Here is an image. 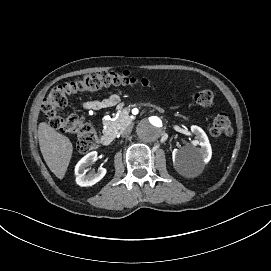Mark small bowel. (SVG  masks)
Listing matches in <instances>:
<instances>
[{
  "mask_svg": "<svg viewBox=\"0 0 271 271\" xmlns=\"http://www.w3.org/2000/svg\"><path fill=\"white\" fill-rule=\"evenodd\" d=\"M119 96L117 94H110L103 99L86 100L81 103V106L86 110H101L116 106L119 103Z\"/></svg>",
  "mask_w": 271,
  "mask_h": 271,
  "instance_id": "obj_1",
  "label": "small bowel"
}]
</instances>
